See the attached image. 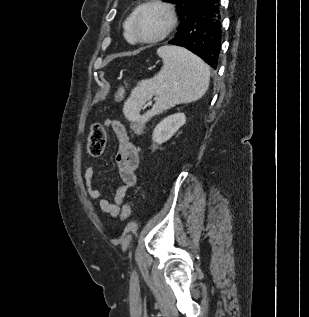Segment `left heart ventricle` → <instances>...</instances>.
<instances>
[{
    "label": "left heart ventricle",
    "instance_id": "obj_1",
    "mask_svg": "<svg viewBox=\"0 0 309 317\" xmlns=\"http://www.w3.org/2000/svg\"><path fill=\"white\" fill-rule=\"evenodd\" d=\"M167 25V16L159 8L151 7L142 12L138 19L137 28L144 38L158 36Z\"/></svg>",
    "mask_w": 309,
    "mask_h": 317
}]
</instances>
